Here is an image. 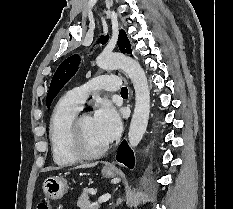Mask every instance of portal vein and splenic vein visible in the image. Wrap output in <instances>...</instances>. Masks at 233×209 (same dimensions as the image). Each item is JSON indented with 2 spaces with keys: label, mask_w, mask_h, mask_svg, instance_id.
<instances>
[{
  "label": "portal vein and splenic vein",
  "mask_w": 233,
  "mask_h": 209,
  "mask_svg": "<svg viewBox=\"0 0 233 209\" xmlns=\"http://www.w3.org/2000/svg\"><path fill=\"white\" fill-rule=\"evenodd\" d=\"M109 199H110V195L102 196V197L98 198V202H100V203L107 202Z\"/></svg>",
  "instance_id": "portal-vein-and-splenic-vein-1"
}]
</instances>
